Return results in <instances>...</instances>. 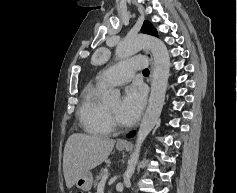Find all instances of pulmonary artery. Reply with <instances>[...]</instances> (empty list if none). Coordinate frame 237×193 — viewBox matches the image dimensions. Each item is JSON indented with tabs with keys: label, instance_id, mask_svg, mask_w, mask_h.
Here are the masks:
<instances>
[{
	"label": "pulmonary artery",
	"instance_id": "pulmonary-artery-1",
	"mask_svg": "<svg viewBox=\"0 0 237 193\" xmlns=\"http://www.w3.org/2000/svg\"><path fill=\"white\" fill-rule=\"evenodd\" d=\"M147 59L137 56L122 61L97 76V81L105 86H115L127 83L133 78L135 71L143 69Z\"/></svg>",
	"mask_w": 237,
	"mask_h": 193
}]
</instances>
